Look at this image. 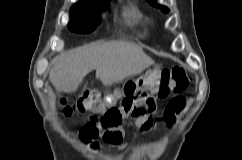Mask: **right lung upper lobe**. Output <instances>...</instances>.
I'll use <instances>...</instances> for the list:
<instances>
[{
  "label": "right lung upper lobe",
  "mask_w": 242,
  "mask_h": 160,
  "mask_svg": "<svg viewBox=\"0 0 242 160\" xmlns=\"http://www.w3.org/2000/svg\"><path fill=\"white\" fill-rule=\"evenodd\" d=\"M95 1L92 0H81L78 4L74 5V6H81V5H88L91 3H94Z\"/></svg>",
  "instance_id": "obj_1"
}]
</instances>
